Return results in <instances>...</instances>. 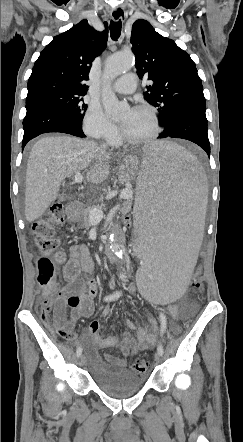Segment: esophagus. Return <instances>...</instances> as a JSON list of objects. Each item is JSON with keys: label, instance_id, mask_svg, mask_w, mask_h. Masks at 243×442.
Segmentation results:
<instances>
[{"label": "esophagus", "instance_id": "34e87169", "mask_svg": "<svg viewBox=\"0 0 243 442\" xmlns=\"http://www.w3.org/2000/svg\"><path fill=\"white\" fill-rule=\"evenodd\" d=\"M111 17L114 21L124 20L125 19V11L122 7H115L111 11Z\"/></svg>", "mask_w": 243, "mask_h": 442}]
</instances>
